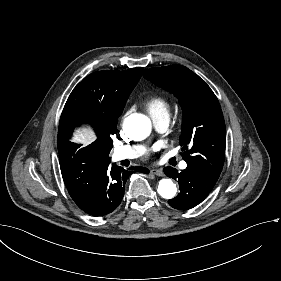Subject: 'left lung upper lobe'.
<instances>
[{
    "label": "left lung upper lobe",
    "mask_w": 281,
    "mask_h": 281,
    "mask_svg": "<svg viewBox=\"0 0 281 281\" xmlns=\"http://www.w3.org/2000/svg\"><path fill=\"white\" fill-rule=\"evenodd\" d=\"M143 75L179 99L183 109L181 155L187 165L219 178L225 159V122L217 97L199 76L182 65L145 69Z\"/></svg>",
    "instance_id": "1"
}]
</instances>
